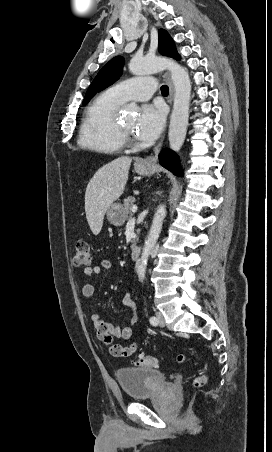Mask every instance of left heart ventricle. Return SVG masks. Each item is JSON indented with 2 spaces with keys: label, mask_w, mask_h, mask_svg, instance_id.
Instances as JSON below:
<instances>
[{
  "label": "left heart ventricle",
  "mask_w": 272,
  "mask_h": 452,
  "mask_svg": "<svg viewBox=\"0 0 272 452\" xmlns=\"http://www.w3.org/2000/svg\"><path fill=\"white\" fill-rule=\"evenodd\" d=\"M122 126L125 127L127 130H129L130 132H132L133 128H134V120L133 119H128V120H123L121 122Z\"/></svg>",
  "instance_id": "obj_1"
}]
</instances>
